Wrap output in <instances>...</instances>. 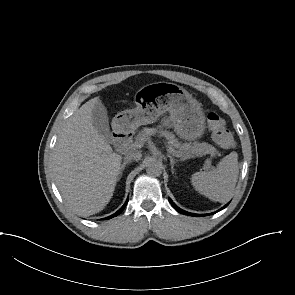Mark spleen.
Segmentation results:
<instances>
[{"instance_id": "3e777b00", "label": "spleen", "mask_w": 295, "mask_h": 295, "mask_svg": "<svg viewBox=\"0 0 295 295\" xmlns=\"http://www.w3.org/2000/svg\"><path fill=\"white\" fill-rule=\"evenodd\" d=\"M239 173L238 155L231 152L211 171L196 172L191 183L196 191L212 201L225 203L232 197Z\"/></svg>"}]
</instances>
